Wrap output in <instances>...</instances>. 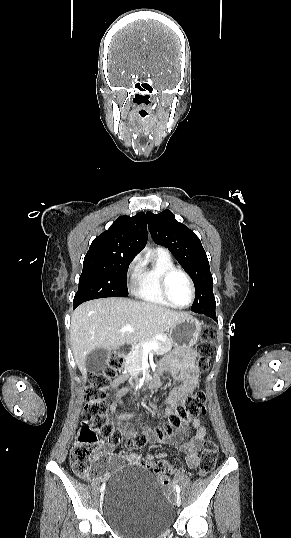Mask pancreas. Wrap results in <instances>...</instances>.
<instances>
[{"label":"pancreas","mask_w":291,"mask_h":538,"mask_svg":"<svg viewBox=\"0 0 291 538\" xmlns=\"http://www.w3.org/2000/svg\"><path fill=\"white\" fill-rule=\"evenodd\" d=\"M165 340L160 338H150L140 342H137L133 345V351L125 357V366L135 372L141 370V363L144 356V343L155 342L158 344V349L152 350V353L156 355H163L171 350L172 342L167 338V336H162Z\"/></svg>","instance_id":"1"}]
</instances>
